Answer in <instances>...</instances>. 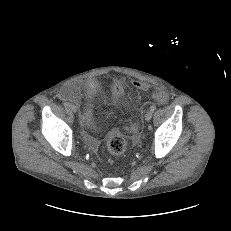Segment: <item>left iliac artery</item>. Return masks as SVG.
I'll return each instance as SVG.
<instances>
[{
    "mask_svg": "<svg viewBox=\"0 0 231 231\" xmlns=\"http://www.w3.org/2000/svg\"><path fill=\"white\" fill-rule=\"evenodd\" d=\"M150 110H151L152 112H154V111L156 110V106H155V105H152V106L150 107Z\"/></svg>",
    "mask_w": 231,
    "mask_h": 231,
    "instance_id": "left-iliac-artery-1",
    "label": "left iliac artery"
}]
</instances>
